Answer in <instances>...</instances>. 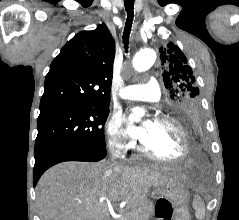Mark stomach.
Segmentation results:
<instances>
[{"label":"stomach","instance_id":"obj_1","mask_svg":"<svg viewBox=\"0 0 239 220\" xmlns=\"http://www.w3.org/2000/svg\"><path fill=\"white\" fill-rule=\"evenodd\" d=\"M157 191L160 195L156 204L159 220H188V192L182 185L160 186Z\"/></svg>","mask_w":239,"mask_h":220}]
</instances>
